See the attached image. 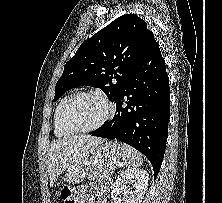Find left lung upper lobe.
<instances>
[{
    "label": "left lung upper lobe",
    "mask_w": 222,
    "mask_h": 203,
    "mask_svg": "<svg viewBox=\"0 0 222 203\" xmlns=\"http://www.w3.org/2000/svg\"><path fill=\"white\" fill-rule=\"evenodd\" d=\"M151 31L135 14L123 15L81 44L64 66L54 101L78 86L100 88L112 100L140 60Z\"/></svg>",
    "instance_id": "left-lung-upper-lobe-1"
}]
</instances>
